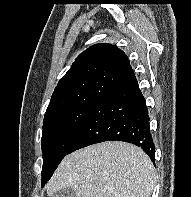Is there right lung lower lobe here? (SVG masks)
<instances>
[{"label":"right lung lower lobe","mask_w":191,"mask_h":197,"mask_svg":"<svg viewBox=\"0 0 191 197\" xmlns=\"http://www.w3.org/2000/svg\"><path fill=\"white\" fill-rule=\"evenodd\" d=\"M114 140L141 147L154 162L148 109L136 77L113 87L95 104L67 154Z\"/></svg>","instance_id":"98d812e1"}]
</instances>
